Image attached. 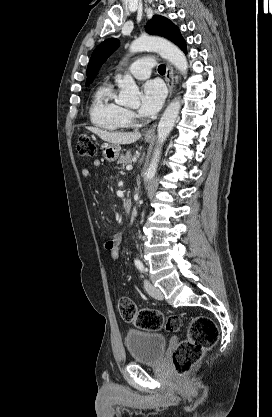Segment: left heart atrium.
<instances>
[{
  "label": "left heart atrium",
  "instance_id": "1",
  "mask_svg": "<svg viewBox=\"0 0 272 417\" xmlns=\"http://www.w3.org/2000/svg\"><path fill=\"white\" fill-rule=\"evenodd\" d=\"M166 96L163 84L157 80L146 82L142 88L139 112L143 116H151L159 111Z\"/></svg>",
  "mask_w": 272,
  "mask_h": 417
}]
</instances>
